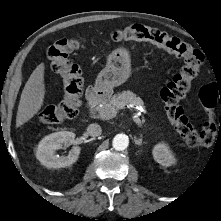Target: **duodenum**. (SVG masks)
Returning <instances> with one entry per match:
<instances>
[{"instance_id":"410a0bca","label":"duodenum","mask_w":221,"mask_h":221,"mask_svg":"<svg viewBox=\"0 0 221 221\" xmlns=\"http://www.w3.org/2000/svg\"><path fill=\"white\" fill-rule=\"evenodd\" d=\"M86 97H87L88 106L94 108L97 105H99L102 101L107 99L108 92L104 88L94 87V88H90L87 91Z\"/></svg>"}]
</instances>
